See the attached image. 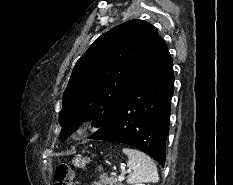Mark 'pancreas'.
<instances>
[{"instance_id": "pancreas-1", "label": "pancreas", "mask_w": 233, "mask_h": 185, "mask_svg": "<svg viewBox=\"0 0 233 185\" xmlns=\"http://www.w3.org/2000/svg\"><path fill=\"white\" fill-rule=\"evenodd\" d=\"M100 182L102 185H123L121 182H118L116 178L114 177H108L106 175L100 176Z\"/></svg>"}]
</instances>
